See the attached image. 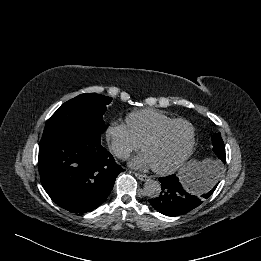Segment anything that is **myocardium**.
Wrapping results in <instances>:
<instances>
[{
	"label": "myocardium",
	"mask_w": 261,
	"mask_h": 261,
	"mask_svg": "<svg viewBox=\"0 0 261 261\" xmlns=\"http://www.w3.org/2000/svg\"><path fill=\"white\" fill-rule=\"evenodd\" d=\"M178 123H184L190 128L191 137H190L189 145H188L185 153L182 155V157L178 161H176L174 164L167 166V167H161V168L152 166V169L158 174H170V173L176 171L178 168H180L190 158V156L194 150L195 143H196L195 126L193 125V123L191 121H189L185 118H175V119L169 120V121L163 123L162 125H160L155 131H153L150 135H148L141 143V147L144 150L145 147L149 143L158 140L169 127H171L174 124H178Z\"/></svg>",
	"instance_id": "1"
}]
</instances>
